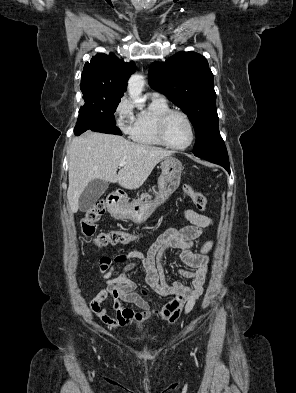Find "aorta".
<instances>
[{
  "instance_id": "1",
  "label": "aorta",
  "mask_w": 296,
  "mask_h": 393,
  "mask_svg": "<svg viewBox=\"0 0 296 393\" xmlns=\"http://www.w3.org/2000/svg\"><path fill=\"white\" fill-rule=\"evenodd\" d=\"M145 85L144 77L133 74L128 82V93L135 103H141V94Z\"/></svg>"
}]
</instances>
